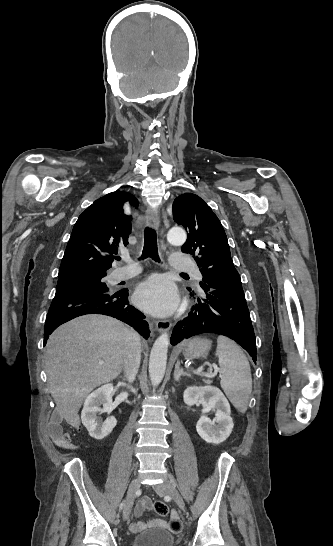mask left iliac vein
Here are the masks:
<instances>
[{"label": "left iliac vein", "instance_id": "1", "mask_svg": "<svg viewBox=\"0 0 333 546\" xmlns=\"http://www.w3.org/2000/svg\"><path fill=\"white\" fill-rule=\"evenodd\" d=\"M154 490L160 495H169L179 506L181 510H184V501L170 481H164L154 487Z\"/></svg>", "mask_w": 333, "mask_h": 546}]
</instances>
